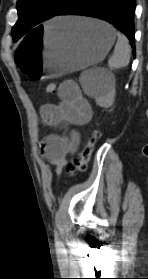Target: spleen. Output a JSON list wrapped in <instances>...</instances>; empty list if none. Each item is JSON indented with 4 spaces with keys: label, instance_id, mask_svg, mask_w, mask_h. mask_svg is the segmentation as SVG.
<instances>
[{
    "label": "spleen",
    "instance_id": "1",
    "mask_svg": "<svg viewBox=\"0 0 148 279\" xmlns=\"http://www.w3.org/2000/svg\"><path fill=\"white\" fill-rule=\"evenodd\" d=\"M118 36L114 52L108 61L111 69H119L126 67L130 61L131 48L129 41L125 35L120 32L116 33ZM80 83L86 92L91 96L103 95L108 91L109 84H104L95 75V70L84 71L80 76Z\"/></svg>",
    "mask_w": 148,
    "mask_h": 279
}]
</instances>
